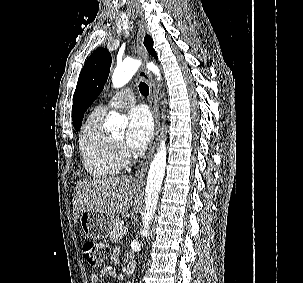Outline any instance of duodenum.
<instances>
[{
	"instance_id": "1",
	"label": "duodenum",
	"mask_w": 303,
	"mask_h": 283,
	"mask_svg": "<svg viewBox=\"0 0 303 283\" xmlns=\"http://www.w3.org/2000/svg\"><path fill=\"white\" fill-rule=\"evenodd\" d=\"M135 269V264L133 262H129L126 266L127 273L133 272Z\"/></svg>"
}]
</instances>
